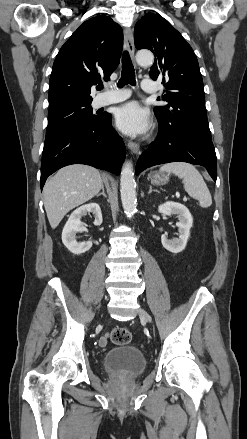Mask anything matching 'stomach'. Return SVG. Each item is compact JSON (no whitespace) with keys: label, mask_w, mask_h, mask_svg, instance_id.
I'll return each mask as SVG.
<instances>
[{"label":"stomach","mask_w":247,"mask_h":439,"mask_svg":"<svg viewBox=\"0 0 247 439\" xmlns=\"http://www.w3.org/2000/svg\"><path fill=\"white\" fill-rule=\"evenodd\" d=\"M151 182L156 185H163L169 181V176L164 173H153L150 176Z\"/></svg>","instance_id":"stomach-1"}]
</instances>
